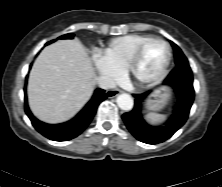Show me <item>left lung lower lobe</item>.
I'll list each match as a JSON object with an SVG mask.
<instances>
[{
    "label": "left lung lower lobe",
    "instance_id": "left-lung-lower-lobe-1",
    "mask_svg": "<svg viewBox=\"0 0 222 187\" xmlns=\"http://www.w3.org/2000/svg\"><path fill=\"white\" fill-rule=\"evenodd\" d=\"M171 86L176 94L177 107L163 126H152L142 117V105L150 92L134 94L135 104L122 119L130 133L139 141L158 144L169 139L187 121L194 101L193 75L189 64H180L170 72L163 82Z\"/></svg>",
    "mask_w": 222,
    "mask_h": 187
}]
</instances>
